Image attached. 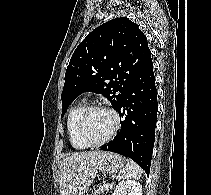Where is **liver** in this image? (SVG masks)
<instances>
[{"label":"liver","instance_id":"obj_1","mask_svg":"<svg viewBox=\"0 0 211 195\" xmlns=\"http://www.w3.org/2000/svg\"><path fill=\"white\" fill-rule=\"evenodd\" d=\"M101 151L76 153L63 159L59 168L60 195H84Z\"/></svg>","mask_w":211,"mask_h":195}]
</instances>
